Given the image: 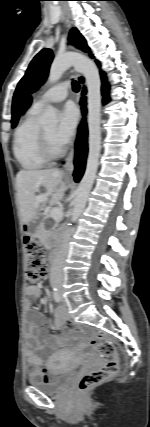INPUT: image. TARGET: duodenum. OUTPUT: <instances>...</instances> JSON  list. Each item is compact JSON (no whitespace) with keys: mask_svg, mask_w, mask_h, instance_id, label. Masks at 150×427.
Returning <instances> with one entry per match:
<instances>
[{"mask_svg":"<svg viewBox=\"0 0 150 427\" xmlns=\"http://www.w3.org/2000/svg\"><path fill=\"white\" fill-rule=\"evenodd\" d=\"M56 260H57V254H56V253H53V254L51 255V258H50V262H51V264H52V265H54V264H55V262H56Z\"/></svg>","mask_w":150,"mask_h":427,"instance_id":"410a0bca","label":"duodenum"}]
</instances>
